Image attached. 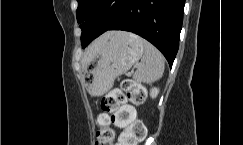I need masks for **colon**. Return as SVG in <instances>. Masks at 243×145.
<instances>
[{
    "mask_svg": "<svg viewBox=\"0 0 243 145\" xmlns=\"http://www.w3.org/2000/svg\"><path fill=\"white\" fill-rule=\"evenodd\" d=\"M144 100V88L130 79L123 80L118 88L106 94L101 101L102 113L97 119L95 145H137L142 141L146 128L136 119L134 106L143 104ZM113 126L123 129L116 144Z\"/></svg>",
    "mask_w": 243,
    "mask_h": 145,
    "instance_id": "colon-1",
    "label": "colon"
}]
</instances>
